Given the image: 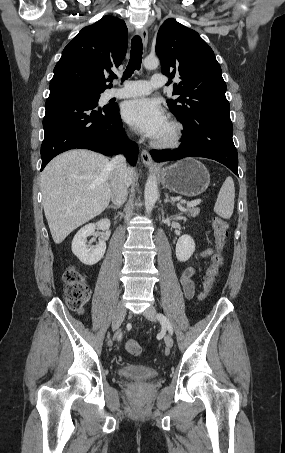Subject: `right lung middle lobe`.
<instances>
[{
    "mask_svg": "<svg viewBox=\"0 0 285 453\" xmlns=\"http://www.w3.org/2000/svg\"><path fill=\"white\" fill-rule=\"evenodd\" d=\"M81 93V96L85 98L88 102L93 104L95 107L98 106V100L100 97V93H95V92H88V91H79ZM108 106H104L103 108L99 109H104L107 108Z\"/></svg>",
    "mask_w": 285,
    "mask_h": 453,
    "instance_id": "dd1d6c3e",
    "label": "right lung middle lobe"
}]
</instances>
